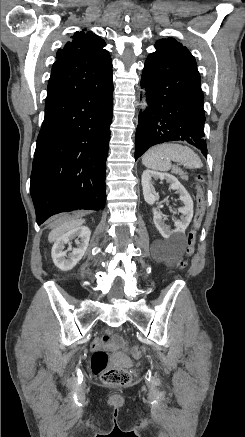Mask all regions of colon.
I'll list each match as a JSON object with an SVG mask.
<instances>
[{
	"instance_id": "obj_1",
	"label": "colon",
	"mask_w": 245,
	"mask_h": 437,
	"mask_svg": "<svg viewBox=\"0 0 245 437\" xmlns=\"http://www.w3.org/2000/svg\"><path fill=\"white\" fill-rule=\"evenodd\" d=\"M198 180L202 181L203 177L198 176ZM206 211V199L204 191L201 187L198 188L197 193V207L193 219V229L188 236V248L187 254L192 255L194 252V245L196 241L197 231L199 230ZM186 262H181L180 267L184 268ZM112 341V336L106 334L101 338H97L92 343V370L95 374L99 375L101 381L110 386H124L131 381L130 373L125 369L109 368V357L105 351V347ZM127 351L134 359H139L142 356V349L139 346H131L127 348Z\"/></svg>"
}]
</instances>
